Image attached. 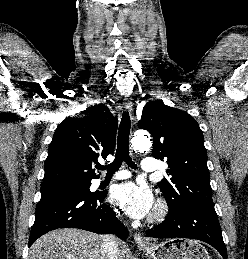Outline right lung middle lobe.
Returning a JSON list of instances; mask_svg holds the SVG:
<instances>
[{
  "label": "right lung middle lobe",
  "mask_w": 248,
  "mask_h": 259,
  "mask_svg": "<svg viewBox=\"0 0 248 259\" xmlns=\"http://www.w3.org/2000/svg\"><path fill=\"white\" fill-rule=\"evenodd\" d=\"M91 186V180L88 181H66L51 184H42L41 193L57 190H70V191H80L86 193L90 192L89 188Z\"/></svg>",
  "instance_id": "right-lung-middle-lobe-1"
}]
</instances>
